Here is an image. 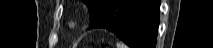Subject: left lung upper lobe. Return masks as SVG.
Returning <instances> with one entry per match:
<instances>
[{"instance_id":"1","label":"left lung upper lobe","mask_w":213,"mask_h":48,"mask_svg":"<svg viewBox=\"0 0 213 48\" xmlns=\"http://www.w3.org/2000/svg\"><path fill=\"white\" fill-rule=\"evenodd\" d=\"M87 4L90 10V20H92L100 12V10L110 1V0H82Z\"/></svg>"}]
</instances>
